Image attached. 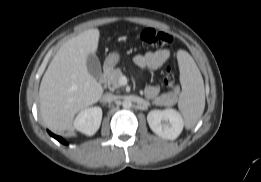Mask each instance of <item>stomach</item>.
<instances>
[{"label":"stomach","mask_w":261,"mask_h":182,"mask_svg":"<svg viewBox=\"0 0 261 182\" xmlns=\"http://www.w3.org/2000/svg\"><path fill=\"white\" fill-rule=\"evenodd\" d=\"M119 61L120 55L117 52H113L106 57L104 61V66L108 69H112L118 64Z\"/></svg>","instance_id":"1"}]
</instances>
